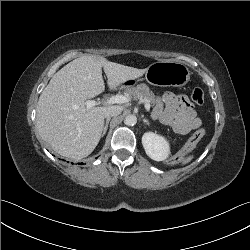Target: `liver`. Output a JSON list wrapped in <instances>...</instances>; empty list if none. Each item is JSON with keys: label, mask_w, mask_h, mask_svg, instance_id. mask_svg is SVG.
Here are the masks:
<instances>
[{"label": "liver", "mask_w": 250, "mask_h": 250, "mask_svg": "<svg viewBox=\"0 0 250 250\" xmlns=\"http://www.w3.org/2000/svg\"><path fill=\"white\" fill-rule=\"evenodd\" d=\"M109 88L137 79L147 68L137 69L100 56L79 57L53 75L37 105L36 125L42 139L64 157L79 160L90 155L100 141L105 112L110 106L87 109L85 102Z\"/></svg>", "instance_id": "liver-1"}]
</instances>
